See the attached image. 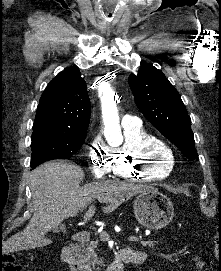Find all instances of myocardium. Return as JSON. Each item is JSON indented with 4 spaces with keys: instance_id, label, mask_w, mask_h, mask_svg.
<instances>
[{
    "instance_id": "myocardium-1",
    "label": "myocardium",
    "mask_w": 221,
    "mask_h": 271,
    "mask_svg": "<svg viewBox=\"0 0 221 271\" xmlns=\"http://www.w3.org/2000/svg\"><path fill=\"white\" fill-rule=\"evenodd\" d=\"M154 147H156L158 150H152L151 153H146L145 156H140L139 157L138 162L141 164L140 169H144V170L148 169L147 167H149V166L147 164L149 162L151 163V161H152L154 167H161V166L163 167L165 165V163L163 161L165 159L167 160V159L171 158V156L170 157L169 156H163V154L168 151V150H164L167 147V145H154L152 147V149Z\"/></svg>"
}]
</instances>
